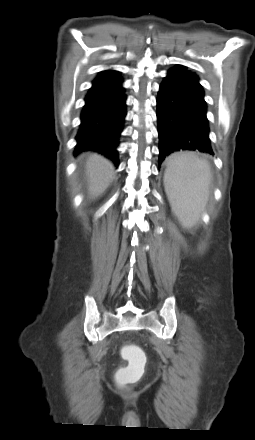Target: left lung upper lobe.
<instances>
[{"label": "left lung upper lobe", "mask_w": 255, "mask_h": 440, "mask_svg": "<svg viewBox=\"0 0 255 440\" xmlns=\"http://www.w3.org/2000/svg\"><path fill=\"white\" fill-rule=\"evenodd\" d=\"M174 68L179 69V70L185 72L186 74H188L190 77H192L193 79H195L197 81L199 80L198 76L195 73H192V72L188 71L186 69V67H184V66L178 65V66H176Z\"/></svg>", "instance_id": "obj_1"}]
</instances>
